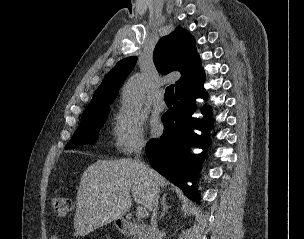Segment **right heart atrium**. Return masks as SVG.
<instances>
[{
  "label": "right heart atrium",
  "mask_w": 304,
  "mask_h": 239,
  "mask_svg": "<svg viewBox=\"0 0 304 239\" xmlns=\"http://www.w3.org/2000/svg\"><path fill=\"white\" fill-rule=\"evenodd\" d=\"M111 143L119 152L132 153L145 144L143 118L127 108H119L113 117Z\"/></svg>",
  "instance_id": "1"
}]
</instances>
